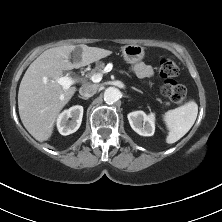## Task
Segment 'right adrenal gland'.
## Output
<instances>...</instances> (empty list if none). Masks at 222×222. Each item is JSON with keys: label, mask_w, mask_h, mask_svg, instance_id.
Masks as SVG:
<instances>
[{"label": "right adrenal gland", "mask_w": 222, "mask_h": 222, "mask_svg": "<svg viewBox=\"0 0 222 222\" xmlns=\"http://www.w3.org/2000/svg\"><path fill=\"white\" fill-rule=\"evenodd\" d=\"M79 98L83 99V100H87L88 98H85L83 96L78 95Z\"/></svg>", "instance_id": "right-adrenal-gland-1"}]
</instances>
